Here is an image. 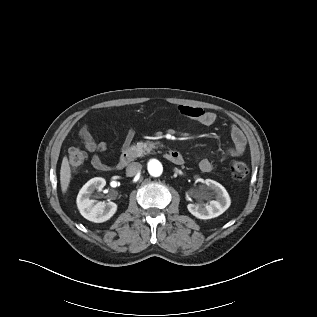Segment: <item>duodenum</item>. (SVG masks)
<instances>
[{"mask_svg": "<svg viewBox=\"0 0 317 317\" xmlns=\"http://www.w3.org/2000/svg\"><path fill=\"white\" fill-rule=\"evenodd\" d=\"M137 157H138L137 150L127 149L122 153L118 163L116 164L114 168L118 170L123 169L129 163L135 161ZM165 157L168 161L176 165H181L184 162L182 154L176 150L167 151L165 153Z\"/></svg>", "mask_w": 317, "mask_h": 317, "instance_id": "obj_1", "label": "duodenum"}]
</instances>
